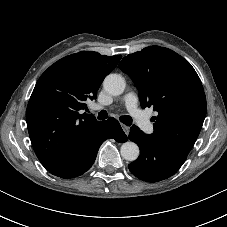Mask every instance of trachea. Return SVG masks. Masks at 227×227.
I'll list each match as a JSON object with an SVG mask.
<instances>
[{"label":"trachea","instance_id":"1","mask_svg":"<svg viewBox=\"0 0 227 227\" xmlns=\"http://www.w3.org/2000/svg\"><path fill=\"white\" fill-rule=\"evenodd\" d=\"M107 117H108V114L105 110L100 111L98 114V119L100 120H104ZM120 121L127 126H130L132 124V118L128 115L121 116Z\"/></svg>","mask_w":227,"mask_h":227}]
</instances>
